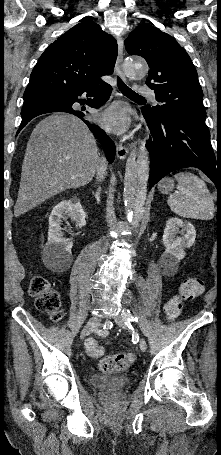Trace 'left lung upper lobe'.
Wrapping results in <instances>:
<instances>
[{
	"mask_svg": "<svg viewBox=\"0 0 221 455\" xmlns=\"http://www.w3.org/2000/svg\"><path fill=\"white\" fill-rule=\"evenodd\" d=\"M125 46L129 54L146 59L150 68L146 84L160 102L142 110L156 117L177 115L205 122L203 93L196 69L172 36L141 24L129 34Z\"/></svg>",
	"mask_w": 221,
	"mask_h": 455,
	"instance_id": "left-lung-upper-lobe-1",
	"label": "left lung upper lobe"
}]
</instances>
